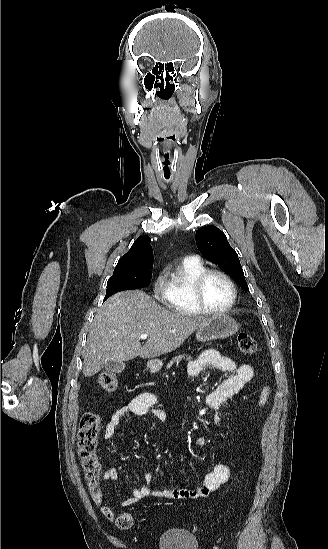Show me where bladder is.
I'll use <instances>...</instances> for the list:
<instances>
[{
    "mask_svg": "<svg viewBox=\"0 0 328 549\" xmlns=\"http://www.w3.org/2000/svg\"><path fill=\"white\" fill-rule=\"evenodd\" d=\"M159 549H198L197 536H187L179 529L163 533L159 538Z\"/></svg>",
    "mask_w": 328,
    "mask_h": 549,
    "instance_id": "obj_1",
    "label": "bladder"
}]
</instances>
